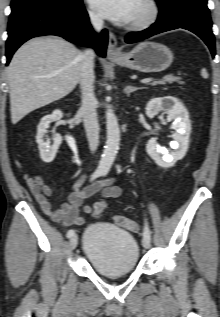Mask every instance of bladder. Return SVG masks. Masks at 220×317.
Wrapping results in <instances>:
<instances>
[{
	"mask_svg": "<svg viewBox=\"0 0 220 317\" xmlns=\"http://www.w3.org/2000/svg\"><path fill=\"white\" fill-rule=\"evenodd\" d=\"M83 255L92 268L106 276L135 271L139 246L128 231L110 224H92L84 232Z\"/></svg>",
	"mask_w": 220,
	"mask_h": 317,
	"instance_id": "bladder-1",
	"label": "bladder"
}]
</instances>
